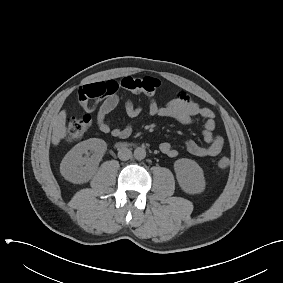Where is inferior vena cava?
<instances>
[{
	"label": "inferior vena cava",
	"instance_id": "1",
	"mask_svg": "<svg viewBox=\"0 0 283 283\" xmlns=\"http://www.w3.org/2000/svg\"><path fill=\"white\" fill-rule=\"evenodd\" d=\"M132 157V152L130 149L123 147L118 151V158L122 161L129 160Z\"/></svg>",
	"mask_w": 283,
	"mask_h": 283
}]
</instances>
